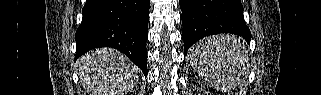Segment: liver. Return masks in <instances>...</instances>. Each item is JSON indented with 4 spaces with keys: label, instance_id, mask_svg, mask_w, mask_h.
<instances>
[{
    "label": "liver",
    "instance_id": "6515ba94",
    "mask_svg": "<svg viewBox=\"0 0 321 95\" xmlns=\"http://www.w3.org/2000/svg\"><path fill=\"white\" fill-rule=\"evenodd\" d=\"M79 74L88 95H125L139 81L140 70L122 53L100 48L79 59Z\"/></svg>",
    "mask_w": 321,
    "mask_h": 95
}]
</instances>
